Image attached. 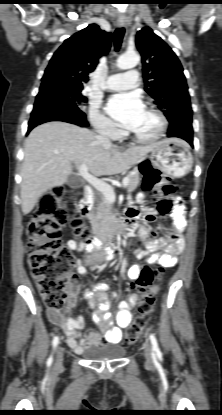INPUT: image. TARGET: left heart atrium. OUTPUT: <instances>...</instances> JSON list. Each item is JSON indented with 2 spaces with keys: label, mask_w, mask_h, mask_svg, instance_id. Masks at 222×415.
Returning a JSON list of instances; mask_svg holds the SVG:
<instances>
[{
  "label": "left heart atrium",
  "mask_w": 222,
  "mask_h": 415,
  "mask_svg": "<svg viewBox=\"0 0 222 415\" xmlns=\"http://www.w3.org/2000/svg\"><path fill=\"white\" fill-rule=\"evenodd\" d=\"M143 109L142 101L136 93L113 95L105 107L106 112L126 128L133 126Z\"/></svg>",
  "instance_id": "obj_1"
}]
</instances>
